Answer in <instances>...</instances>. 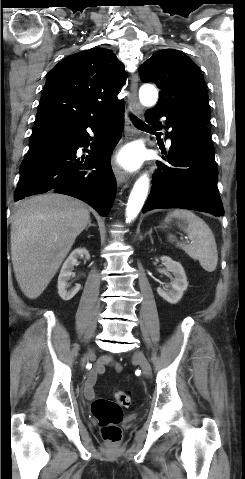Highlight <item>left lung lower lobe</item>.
Listing matches in <instances>:
<instances>
[{
    "mask_svg": "<svg viewBox=\"0 0 245 479\" xmlns=\"http://www.w3.org/2000/svg\"><path fill=\"white\" fill-rule=\"evenodd\" d=\"M165 116L154 109L145 118L156 129L162 125L154 118ZM166 117V116H165ZM171 132L169 152L161 148L167 162H157L151 192L142 209L145 213L157 208H183L223 216L224 209L217 188L218 169L214 147L206 124L195 121L178 122L166 117ZM162 147L161 144H159Z\"/></svg>",
    "mask_w": 245,
    "mask_h": 479,
    "instance_id": "obj_1",
    "label": "left lung lower lobe"
}]
</instances>
